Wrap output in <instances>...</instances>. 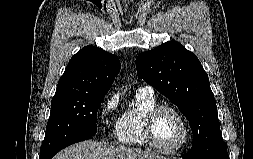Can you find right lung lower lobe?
<instances>
[{
	"instance_id": "1",
	"label": "right lung lower lobe",
	"mask_w": 253,
	"mask_h": 159,
	"mask_svg": "<svg viewBox=\"0 0 253 159\" xmlns=\"http://www.w3.org/2000/svg\"><path fill=\"white\" fill-rule=\"evenodd\" d=\"M89 138H91V137H87V138H83V139H78V140H76V141H73V142H71V143H69V144H67V145H65V146H63V147H61V148H59L56 152H54L53 154H51L48 158H46V159H51L57 152H59L61 149H63V148H65V147H67V146H69V145H71V144H73V143H76V142H80V141H83V140H87V139H89Z\"/></svg>"
}]
</instances>
